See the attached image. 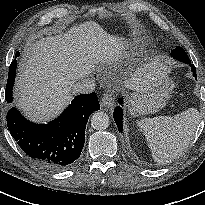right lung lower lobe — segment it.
I'll return each mask as SVG.
<instances>
[{"label":"right lung lower lobe","mask_w":205,"mask_h":205,"mask_svg":"<svg viewBox=\"0 0 205 205\" xmlns=\"http://www.w3.org/2000/svg\"><path fill=\"white\" fill-rule=\"evenodd\" d=\"M99 109L95 93L81 94L48 124L32 123L13 107L7 113V126L17 144L35 163L59 171L77 162L84 147L89 115Z\"/></svg>","instance_id":"1"}]
</instances>
